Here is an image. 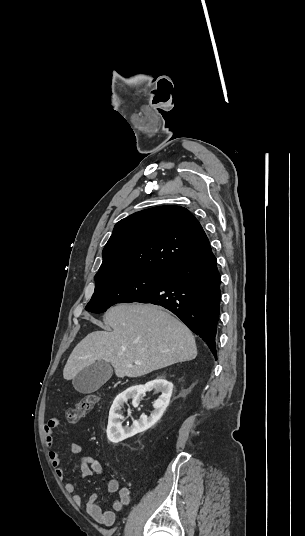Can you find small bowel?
<instances>
[{
    "mask_svg": "<svg viewBox=\"0 0 305 536\" xmlns=\"http://www.w3.org/2000/svg\"><path fill=\"white\" fill-rule=\"evenodd\" d=\"M57 422L55 419L50 418L46 424L43 425L42 430L44 434L45 445L48 449V456L52 466L55 469L56 477L59 480H63L65 472L61 466V458L59 453L53 449L54 440L56 434L54 432ZM70 451L74 455L79 456V463L81 467V476L83 478L89 477L92 474H103V469L99 461L84 453L83 446L80 443H72ZM66 493L72 495V499L76 505H80L82 502L81 495L75 493V484L73 482H66L64 485ZM106 490L109 493H117V497L113 500L111 509H103L98 504V495L91 493L86 503V512L96 522L105 525L112 526L116 520V513L122 511L131 501L130 490L127 487H120L119 482L116 479L106 480Z\"/></svg>",
    "mask_w": 305,
    "mask_h": 536,
    "instance_id": "small-bowel-1",
    "label": "small bowel"
}]
</instances>
